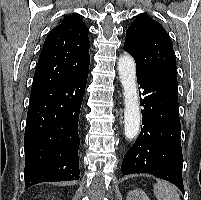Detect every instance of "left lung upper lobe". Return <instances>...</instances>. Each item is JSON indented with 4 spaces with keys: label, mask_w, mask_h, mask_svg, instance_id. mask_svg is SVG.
Here are the masks:
<instances>
[{
    "label": "left lung upper lobe",
    "mask_w": 201,
    "mask_h": 200,
    "mask_svg": "<svg viewBox=\"0 0 201 200\" xmlns=\"http://www.w3.org/2000/svg\"><path fill=\"white\" fill-rule=\"evenodd\" d=\"M124 50L136 62L137 72H172L177 74L170 37L161 24L143 13L126 31Z\"/></svg>",
    "instance_id": "1"
}]
</instances>
